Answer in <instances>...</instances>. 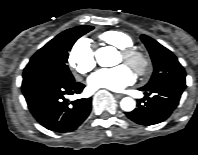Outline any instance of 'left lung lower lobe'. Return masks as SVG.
I'll list each match as a JSON object with an SVG mask.
<instances>
[{
  "label": "left lung lower lobe",
  "mask_w": 198,
  "mask_h": 155,
  "mask_svg": "<svg viewBox=\"0 0 198 155\" xmlns=\"http://www.w3.org/2000/svg\"><path fill=\"white\" fill-rule=\"evenodd\" d=\"M185 88L186 85L180 83H164L150 89L140 88L146 97L138 100L137 108L126 115L140 125L158 124L171 115Z\"/></svg>",
  "instance_id": "left-lung-lower-lobe-1"
}]
</instances>
